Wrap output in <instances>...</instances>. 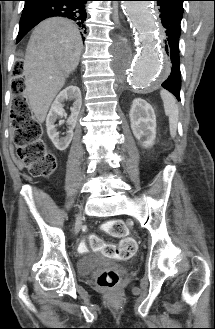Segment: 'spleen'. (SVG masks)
<instances>
[{
	"mask_svg": "<svg viewBox=\"0 0 215 329\" xmlns=\"http://www.w3.org/2000/svg\"><path fill=\"white\" fill-rule=\"evenodd\" d=\"M161 98L164 104L165 114L169 117V127L171 137L176 136L179 110L174 96L166 90H161Z\"/></svg>",
	"mask_w": 215,
	"mask_h": 329,
	"instance_id": "obj_1",
	"label": "spleen"
}]
</instances>
